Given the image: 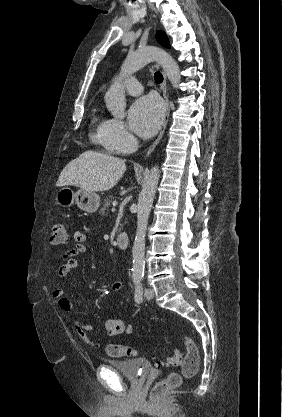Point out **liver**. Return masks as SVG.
I'll return each instance as SVG.
<instances>
[{
  "label": "liver",
  "instance_id": "6515ba94",
  "mask_svg": "<svg viewBox=\"0 0 282 417\" xmlns=\"http://www.w3.org/2000/svg\"><path fill=\"white\" fill-rule=\"evenodd\" d=\"M125 170L126 164L121 158L85 150L64 166L56 186L74 184L82 190H109L117 184Z\"/></svg>",
  "mask_w": 282,
  "mask_h": 417
}]
</instances>
